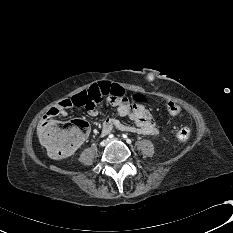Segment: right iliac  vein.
Returning a JSON list of instances; mask_svg holds the SVG:
<instances>
[{"mask_svg": "<svg viewBox=\"0 0 233 233\" xmlns=\"http://www.w3.org/2000/svg\"><path fill=\"white\" fill-rule=\"evenodd\" d=\"M107 143H108V142H107L106 140H104V141H102V142H101V146H103V147H104V146H106V145H107Z\"/></svg>", "mask_w": 233, "mask_h": 233, "instance_id": "1", "label": "right iliac vein"}]
</instances>
